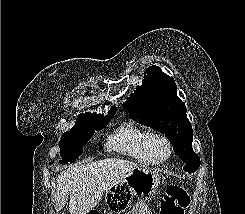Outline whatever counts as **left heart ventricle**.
Segmentation results:
<instances>
[{"instance_id":"1","label":"left heart ventricle","mask_w":245,"mask_h":214,"mask_svg":"<svg viewBox=\"0 0 245 214\" xmlns=\"http://www.w3.org/2000/svg\"><path fill=\"white\" fill-rule=\"evenodd\" d=\"M148 152L152 159L160 160L167 156L168 149L161 139L153 138L149 143Z\"/></svg>"}]
</instances>
